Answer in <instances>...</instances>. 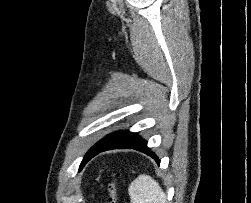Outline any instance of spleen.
<instances>
[{
    "mask_svg": "<svg viewBox=\"0 0 251 203\" xmlns=\"http://www.w3.org/2000/svg\"><path fill=\"white\" fill-rule=\"evenodd\" d=\"M131 203H167L166 196L151 176H138L128 189Z\"/></svg>",
    "mask_w": 251,
    "mask_h": 203,
    "instance_id": "spleen-1",
    "label": "spleen"
}]
</instances>
